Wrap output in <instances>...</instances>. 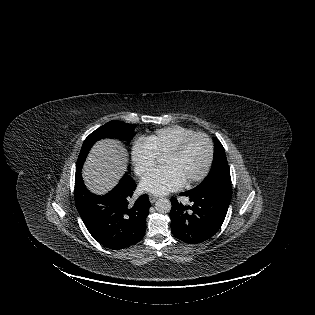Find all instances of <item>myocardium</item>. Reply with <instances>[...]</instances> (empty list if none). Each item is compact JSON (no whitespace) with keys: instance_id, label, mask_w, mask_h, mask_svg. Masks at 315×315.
Returning <instances> with one entry per match:
<instances>
[{"instance_id":"f54148a6","label":"myocardium","mask_w":315,"mask_h":315,"mask_svg":"<svg viewBox=\"0 0 315 315\" xmlns=\"http://www.w3.org/2000/svg\"><path fill=\"white\" fill-rule=\"evenodd\" d=\"M202 137L206 140L208 146V156L203 170L195 177L185 181L187 185H192L202 181L209 173L213 159H214V145L211 138L203 132H195L182 140H180L175 146H173L168 152H166L165 156H178L180 155L186 146L195 138Z\"/></svg>"}]
</instances>
